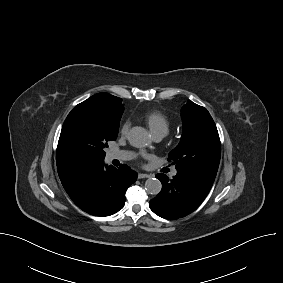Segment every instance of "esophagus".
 Masks as SVG:
<instances>
[{
    "mask_svg": "<svg viewBox=\"0 0 283 283\" xmlns=\"http://www.w3.org/2000/svg\"><path fill=\"white\" fill-rule=\"evenodd\" d=\"M149 177H150L149 174H145V173H139V174H138V178H139V179H144V178H149Z\"/></svg>",
    "mask_w": 283,
    "mask_h": 283,
    "instance_id": "1",
    "label": "esophagus"
}]
</instances>
